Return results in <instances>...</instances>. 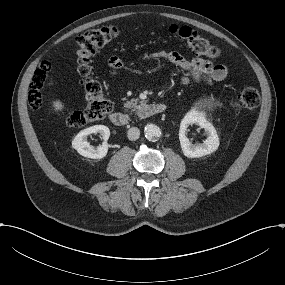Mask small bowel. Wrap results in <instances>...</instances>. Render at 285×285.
I'll use <instances>...</instances> for the list:
<instances>
[{
	"mask_svg": "<svg viewBox=\"0 0 285 285\" xmlns=\"http://www.w3.org/2000/svg\"><path fill=\"white\" fill-rule=\"evenodd\" d=\"M141 62L152 60H165L183 71L180 81L185 86L194 84L213 85L223 81L228 75V68L224 64L213 65L209 61L195 57L191 60L186 59L177 51L159 49L153 52H147L139 57ZM111 72L115 74L124 66V63L118 57L111 58L109 62Z\"/></svg>",
	"mask_w": 285,
	"mask_h": 285,
	"instance_id": "small-bowel-1",
	"label": "small bowel"
}]
</instances>
